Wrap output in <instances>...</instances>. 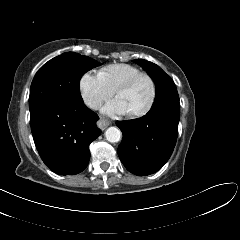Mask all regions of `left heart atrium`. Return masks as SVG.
Here are the masks:
<instances>
[{
	"label": "left heart atrium",
	"instance_id": "39dd6f15",
	"mask_svg": "<svg viewBox=\"0 0 240 240\" xmlns=\"http://www.w3.org/2000/svg\"><path fill=\"white\" fill-rule=\"evenodd\" d=\"M102 111L110 116L122 115L129 112L125 102L116 97L113 100L109 101L102 109Z\"/></svg>",
	"mask_w": 240,
	"mask_h": 240
}]
</instances>
